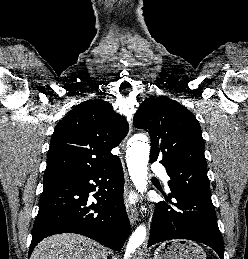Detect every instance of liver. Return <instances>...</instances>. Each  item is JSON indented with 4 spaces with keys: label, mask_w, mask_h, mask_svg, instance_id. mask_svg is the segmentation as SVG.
Masks as SVG:
<instances>
[{
    "label": "liver",
    "mask_w": 248,
    "mask_h": 259,
    "mask_svg": "<svg viewBox=\"0 0 248 259\" xmlns=\"http://www.w3.org/2000/svg\"><path fill=\"white\" fill-rule=\"evenodd\" d=\"M107 249L79 234H57L42 240L30 259H107Z\"/></svg>",
    "instance_id": "liver-1"
}]
</instances>
